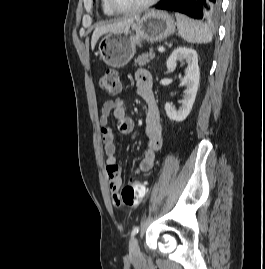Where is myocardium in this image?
Listing matches in <instances>:
<instances>
[{
	"label": "myocardium",
	"instance_id": "obj_1",
	"mask_svg": "<svg viewBox=\"0 0 265 269\" xmlns=\"http://www.w3.org/2000/svg\"><path fill=\"white\" fill-rule=\"evenodd\" d=\"M158 1L159 0H147L146 2L132 8H119L116 6L114 0H108V4L114 12L120 14H127L144 11L149 7H151L152 5H154L155 3H157Z\"/></svg>",
	"mask_w": 265,
	"mask_h": 269
}]
</instances>
